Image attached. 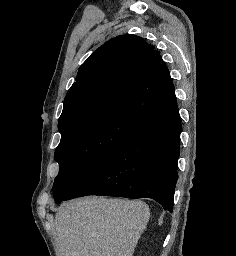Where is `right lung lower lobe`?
<instances>
[{
    "mask_svg": "<svg viewBox=\"0 0 236 256\" xmlns=\"http://www.w3.org/2000/svg\"><path fill=\"white\" fill-rule=\"evenodd\" d=\"M180 133L175 104L135 130L63 200L87 195L148 197L172 212Z\"/></svg>",
    "mask_w": 236,
    "mask_h": 256,
    "instance_id": "right-lung-lower-lobe-1",
    "label": "right lung lower lobe"
}]
</instances>
